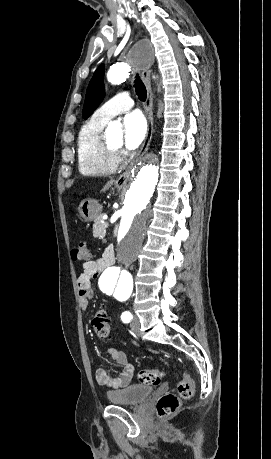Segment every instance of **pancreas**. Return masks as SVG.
<instances>
[{
    "label": "pancreas",
    "mask_w": 271,
    "mask_h": 459,
    "mask_svg": "<svg viewBox=\"0 0 271 459\" xmlns=\"http://www.w3.org/2000/svg\"><path fill=\"white\" fill-rule=\"evenodd\" d=\"M104 221L102 220V218H99V220H96L93 228L95 229L94 230V233H95V236L98 238V239H101L103 236H104V233H105V230L103 228L104 226Z\"/></svg>",
    "instance_id": "obj_1"
}]
</instances>
